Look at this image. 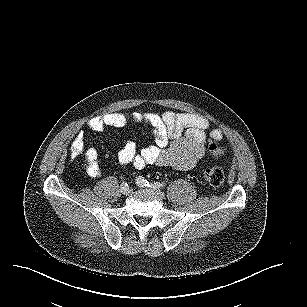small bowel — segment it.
I'll return each mask as SVG.
<instances>
[{"label": "small bowel", "mask_w": 307, "mask_h": 307, "mask_svg": "<svg viewBox=\"0 0 307 307\" xmlns=\"http://www.w3.org/2000/svg\"><path fill=\"white\" fill-rule=\"evenodd\" d=\"M129 123H142L152 129L154 144L138 150L134 142L128 141L118 152L121 166L131 165L140 170L147 165L170 166L177 170H190L198 165L206 154V144L220 140L222 131L215 128L207 134L210 122L207 118L193 113L165 111L157 113H110L95 116L87 127L95 132L107 128H122ZM224 152L218 149L214 156ZM70 153L72 158L84 154L83 168L91 177L102 175L98 153L94 148L85 149L83 132L74 137Z\"/></svg>", "instance_id": "1"}]
</instances>
